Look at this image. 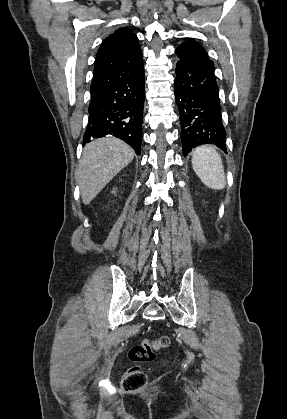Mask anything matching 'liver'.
Here are the masks:
<instances>
[{
  "instance_id": "liver-1",
  "label": "liver",
  "mask_w": 287,
  "mask_h": 419,
  "mask_svg": "<svg viewBox=\"0 0 287 419\" xmlns=\"http://www.w3.org/2000/svg\"><path fill=\"white\" fill-rule=\"evenodd\" d=\"M134 154L128 144L115 137L87 144L77 172L83 204L88 205L133 160Z\"/></svg>"
}]
</instances>
